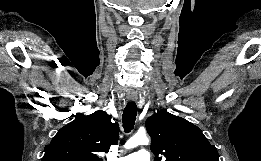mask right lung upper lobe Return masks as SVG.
<instances>
[{
  "label": "right lung upper lobe",
  "instance_id": "right-lung-upper-lobe-1",
  "mask_svg": "<svg viewBox=\"0 0 261 161\" xmlns=\"http://www.w3.org/2000/svg\"><path fill=\"white\" fill-rule=\"evenodd\" d=\"M118 132V124L102 110L78 117L46 145L41 161H102L98 153L108 152L117 143Z\"/></svg>",
  "mask_w": 261,
  "mask_h": 161
}]
</instances>
